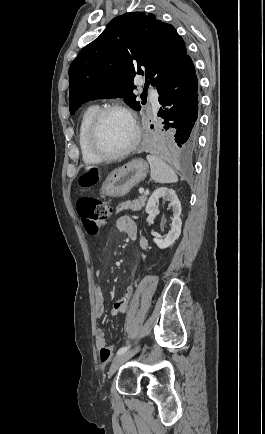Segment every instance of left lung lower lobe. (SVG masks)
Masks as SVG:
<instances>
[{"label":"left lung lower lobe","mask_w":265,"mask_h":434,"mask_svg":"<svg viewBox=\"0 0 265 434\" xmlns=\"http://www.w3.org/2000/svg\"><path fill=\"white\" fill-rule=\"evenodd\" d=\"M198 80L189 55L176 70L160 93L159 103L163 106L158 116L164 119L169 140H156L150 148L162 155L189 154L197 145L198 122Z\"/></svg>","instance_id":"1"}]
</instances>
